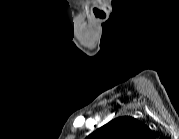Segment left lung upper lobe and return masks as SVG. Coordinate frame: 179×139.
<instances>
[{"mask_svg": "<svg viewBox=\"0 0 179 139\" xmlns=\"http://www.w3.org/2000/svg\"><path fill=\"white\" fill-rule=\"evenodd\" d=\"M151 130L130 116L113 119L91 134L95 139H145Z\"/></svg>", "mask_w": 179, "mask_h": 139, "instance_id": "1", "label": "left lung upper lobe"}]
</instances>
